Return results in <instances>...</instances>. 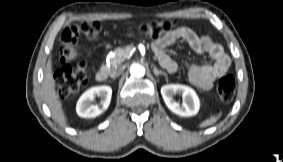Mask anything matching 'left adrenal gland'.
I'll use <instances>...</instances> for the list:
<instances>
[{
    "mask_svg": "<svg viewBox=\"0 0 283 162\" xmlns=\"http://www.w3.org/2000/svg\"><path fill=\"white\" fill-rule=\"evenodd\" d=\"M153 73L155 76H158L160 74L164 75L165 77H167V73L161 71V70H158L155 66L153 67Z\"/></svg>",
    "mask_w": 283,
    "mask_h": 162,
    "instance_id": "left-adrenal-gland-1",
    "label": "left adrenal gland"
}]
</instances>
